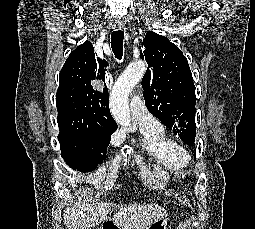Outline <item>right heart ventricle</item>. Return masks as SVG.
<instances>
[{
    "label": "right heart ventricle",
    "mask_w": 255,
    "mask_h": 229,
    "mask_svg": "<svg viewBox=\"0 0 255 229\" xmlns=\"http://www.w3.org/2000/svg\"><path fill=\"white\" fill-rule=\"evenodd\" d=\"M138 125L140 131L139 148L154 163L168 170H181L186 166L180 163L170 152L172 141L167 136L161 123L155 127Z\"/></svg>",
    "instance_id": "obj_1"
}]
</instances>
